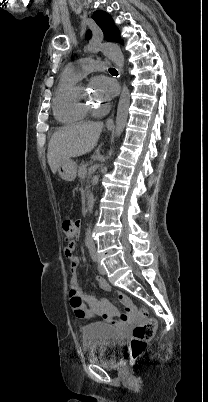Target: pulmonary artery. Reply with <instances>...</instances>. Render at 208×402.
I'll return each mask as SVG.
<instances>
[{
  "instance_id": "pulmonary-artery-1",
  "label": "pulmonary artery",
  "mask_w": 208,
  "mask_h": 402,
  "mask_svg": "<svg viewBox=\"0 0 208 402\" xmlns=\"http://www.w3.org/2000/svg\"><path fill=\"white\" fill-rule=\"evenodd\" d=\"M91 60L88 58H82L77 60L74 63H70L66 66L65 68V73H67L69 76L74 77L77 80H80L83 78L86 74L92 71V68L88 63H90ZM94 69L96 71H104L107 69L108 62L106 60H99L94 62Z\"/></svg>"
}]
</instances>
